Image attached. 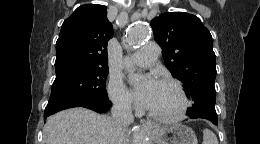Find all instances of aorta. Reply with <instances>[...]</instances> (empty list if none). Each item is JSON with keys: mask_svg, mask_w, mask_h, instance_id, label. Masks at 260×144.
<instances>
[{"mask_svg": "<svg viewBox=\"0 0 260 144\" xmlns=\"http://www.w3.org/2000/svg\"><path fill=\"white\" fill-rule=\"evenodd\" d=\"M149 34L150 33L147 25L142 22L136 23L130 27L126 33L124 44L126 47L132 49L134 46L140 45L147 41ZM124 64L128 71L131 72L133 70V65L129 59H126ZM133 144H149L148 138L143 130L139 128L136 130Z\"/></svg>", "mask_w": 260, "mask_h": 144, "instance_id": "aorta-1", "label": "aorta"}]
</instances>
